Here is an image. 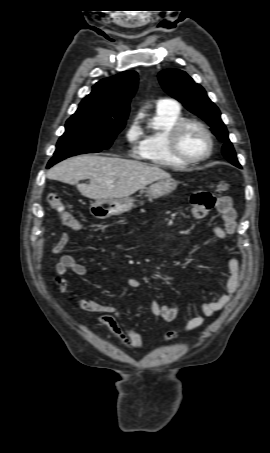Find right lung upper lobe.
I'll use <instances>...</instances> for the list:
<instances>
[{"label": "right lung upper lobe", "instance_id": "cb5924a9", "mask_svg": "<svg viewBox=\"0 0 270 453\" xmlns=\"http://www.w3.org/2000/svg\"><path fill=\"white\" fill-rule=\"evenodd\" d=\"M138 84L136 72L128 70L97 82L72 115L92 116L103 120L125 123L129 103Z\"/></svg>", "mask_w": 270, "mask_h": 453}]
</instances>
